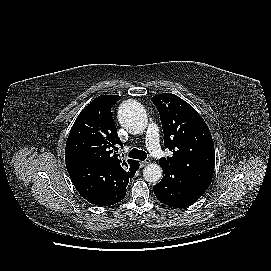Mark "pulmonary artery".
Instances as JSON below:
<instances>
[{"instance_id": "pulmonary-artery-1", "label": "pulmonary artery", "mask_w": 271, "mask_h": 271, "mask_svg": "<svg viewBox=\"0 0 271 271\" xmlns=\"http://www.w3.org/2000/svg\"><path fill=\"white\" fill-rule=\"evenodd\" d=\"M146 141L151 154L157 158L164 157V151L159 143V131L155 123H150L147 127Z\"/></svg>"}]
</instances>
